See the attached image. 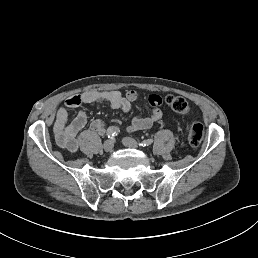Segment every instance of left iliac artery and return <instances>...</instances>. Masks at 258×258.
Returning <instances> with one entry per match:
<instances>
[{"label":"left iliac artery","instance_id":"left-iliac-artery-1","mask_svg":"<svg viewBox=\"0 0 258 258\" xmlns=\"http://www.w3.org/2000/svg\"><path fill=\"white\" fill-rule=\"evenodd\" d=\"M152 143H153V139L150 138V139H148V140H144V141H142V142H139L138 145H139L140 147H148V146H150Z\"/></svg>","mask_w":258,"mask_h":258}]
</instances>
